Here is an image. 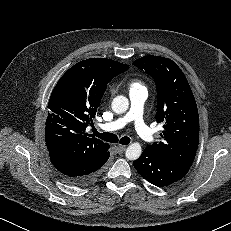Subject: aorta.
<instances>
[{
  "instance_id": "aorta-1",
  "label": "aorta",
  "mask_w": 231,
  "mask_h": 231,
  "mask_svg": "<svg viewBox=\"0 0 231 231\" xmlns=\"http://www.w3.org/2000/svg\"><path fill=\"white\" fill-rule=\"evenodd\" d=\"M112 110L116 114L125 113L129 107V100L125 96H117L112 101ZM142 153V148L140 143L134 142L128 146L125 155L129 160H136L140 157Z\"/></svg>"
}]
</instances>
